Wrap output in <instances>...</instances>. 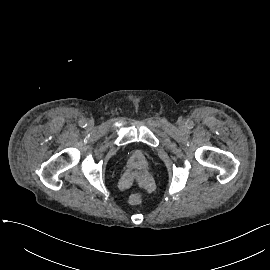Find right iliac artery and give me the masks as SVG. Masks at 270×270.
<instances>
[{"label": "right iliac artery", "instance_id": "obj_1", "mask_svg": "<svg viewBox=\"0 0 270 270\" xmlns=\"http://www.w3.org/2000/svg\"><path fill=\"white\" fill-rule=\"evenodd\" d=\"M79 125H80L81 127H86V125H87L86 120H84V119L80 120V121H79Z\"/></svg>", "mask_w": 270, "mask_h": 270}]
</instances>
